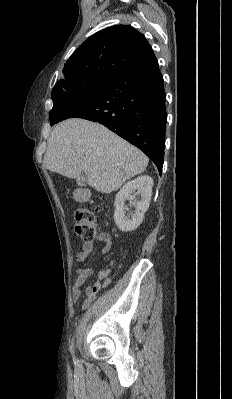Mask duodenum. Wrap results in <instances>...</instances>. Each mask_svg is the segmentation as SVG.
I'll list each match as a JSON object with an SVG mask.
<instances>
[{"label":"duodenum","instance_id":"obj_1","mask_svg":"<svg viewBox=\"0 0 232 399\" xmlns=\"http://www.w3.org/2000/svg\"><path fill=\"white\" fill-rule=\"evenodd\" d=\"M88 197H89V193L87 191H83L81 194V198L83 200H86V199H88Z\"/></svg>","mask_w":232,"mask_h":399}]
</instances>
